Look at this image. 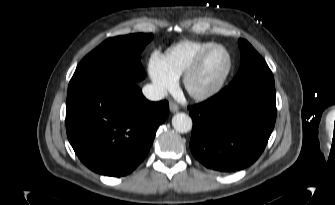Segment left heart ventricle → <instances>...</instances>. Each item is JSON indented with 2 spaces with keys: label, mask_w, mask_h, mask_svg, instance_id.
<instances>
[{
  "label": "left heart ventricle",
  "mask_w": 335,
  "mask_h": 205,
  "mask_svg": "<svg viewBox=\"0 0 335 205\" xmlns=\"http://www.w3.org/2000/svg\"><path fill=\"white\" fill-rule=\"evenodd\" d=\"M227 64L228 58L223 50L217 49L212 52L194 78L192 88L197 91H203L212 87L225 72Z\"/></svg>",
  "instance_id": "b2bd125f"
}]
</instances>
